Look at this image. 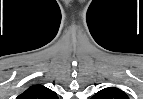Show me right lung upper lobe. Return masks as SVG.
<instances>
[{
	"label": "right lung upper lobe",
	"mask_w": 143,
	"mask_h": 99,
	"mask_svg": "<svg viewBox=\"0 0 143 99\" xmlns=\"http://www.w3.org/2000/svg\"><path fill=\"white\" fill-rule=\"evenodd\" d=\"M55 92L42 85H32L25 92L17 97V99H57Z\"/></svg>",
	"instance_id": "cb5924a9"
}]
</instances>
